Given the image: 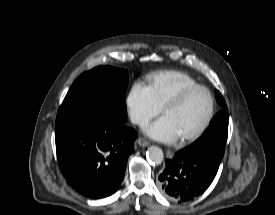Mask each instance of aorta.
Returning a JSON list of instances; mask_svg holds the SVG:
<instances>
[{
	"instance_id": "1",
	"label": "aorta",
	"mask_w": 275,
	"mask_h": 215,
	"mask_svg": "<svg viewBox=\"0 0 275 215\" xmlns=\"http://www.w3.org/2000/svg\"><path fill=\"white\" fill-rule=\"evenodd\" d=\"M147 160L155 165H159L163 162V151L157 146H151L146 153Z\"/></svg>"
}]
</instances>
